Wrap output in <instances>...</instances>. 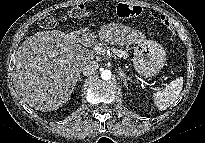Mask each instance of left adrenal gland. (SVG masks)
<instances>
[{
  "mask_svg": "<svg viewBox=\"0 0 205 143\" xmlns=\"http://www.w3.org/2000/svg\"><path fill=\"white\" fill-rule=\"evenodd\" d=\"M119 75L122 77V79H124V86L127 88L128 83L127 81L132 82L131 78H129L124 72L120 71Z\"/></svg>",
  "mask_w": 205,
  "mask_h": 143,
  "instance_id": "1",
  "label": "left adrenal gland"
}]
</instances>
